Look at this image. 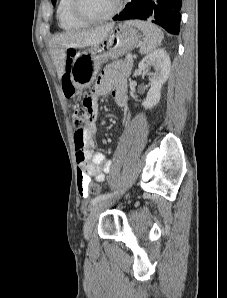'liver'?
Wrapping results in <instances>:
<instances>
[{
	"mask_svg": "<svg viewBox=\"0 0 227 298\" xmlns=\"http://www.w3.org/2000/svg\"><path fill=\"white\" fill-rule=\"evenodd\" d=\"M114 23H109L95 29L62 33L50 41L51 55L56 66L58 78L65 73L66 50L68 48H84L100 43L113 29Z\"/></svg>",
	"mask_w": 227,
	"mask_h": 298,
	"instance_id": "liver-1",
	"label": "liver"
}]
</instances>
